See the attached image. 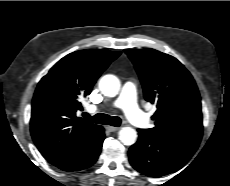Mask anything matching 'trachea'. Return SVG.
Wrapping results in <instances>:
<instances>
[{
    "label": "trachea",
    "instance_id": "1",
    "mask_svg": "<svg viewBox=\"0 0 230 186\" xmlns=\"http://www.w3.org/2000/svg\"><path fill=\"white\" fill-rule=\"evenodd\" d=\"M83 117L93 123L103 124V125H111L118 127L121 124V119L119 117H111L107 114H96L91 117L88 113H83Z\"/></svg>",
    "mask_w": 230,
    "mask_h": 186
}]
</instances>
